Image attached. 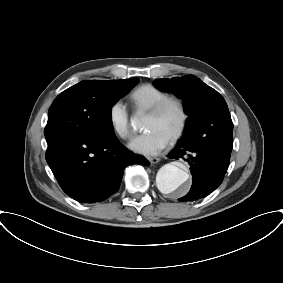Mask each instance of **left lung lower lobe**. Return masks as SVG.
<instances>
[{
	"label": "left lung lower lobe",
	"instance_id": "1",
	"mask_svg": "<svg viewBox=\"0 0 283 283\" xmlns=\"http://www.w3.org/2000/svg\"><path fill=\"white\" fill-rule=\"evenodd\" d=\"M195 128L184 130L182 138L169 153L172 159L182 158L191 166L192 186L180 201L203 198L220 186L229 166V151H218L206 146Z\"/></svg>",
	"mask_w": 283,
	"mask_h": 283
}]
</instances>
